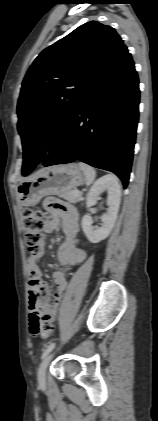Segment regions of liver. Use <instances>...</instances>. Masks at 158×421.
I'll return each mask as SVG.
<instances>
[{
	"label": "liver",
	"mask_w": 158,
	"mask_h": 421,
	"mask_svg": "<svg viewBox=\"0 0 158 421\" xmlns=\"http://www.w3.org/2000/svg\"><path fill=\"white\" fill-rule=\"evenodd\" d=\"M43 170H44V169H42V170L38 171V172H37L34 176H36V175L40 174Z\"/></svg>",
	"instance_id": "obj_1"
}]
</instances>
